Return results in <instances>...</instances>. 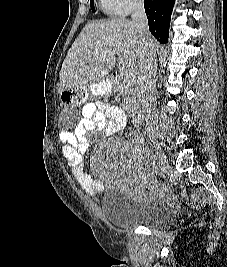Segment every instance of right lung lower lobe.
<instances>
[{"mask_svg": "<svg viewBox=\"0 0 227 267\" xmlns=\"http://www.w3.org/2000/svg\"><path fill=\"white\" fill-rule=\"evenodd\" d=\"M175 0H144L149 30L162 44L168 41L170 17Z\"/></svg>", "mask_w": 227, "mask_h": 267, "instance_id": "1", "label": "right lung lower lobe"}]
</instances>
